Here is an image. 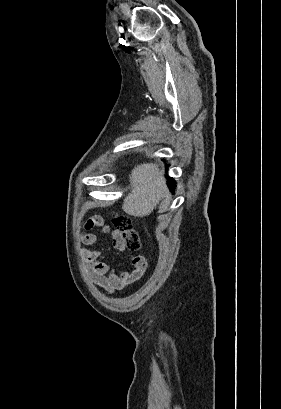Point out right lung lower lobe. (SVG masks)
<instances>
[{"label": "right lung lower lobe", "instance_id": "right-lung-lower-lobe-1", "mask_svg": "<svg viewBox=\"0 0 281 409\" xmlns=\"http://www.w3.org/2000/svg\"><path fill=\"white\" fill-rule=\"evenodd\" d=\"M169 183H170V187H172V188L175 187V183H174V181L172 179H170Z\"/></svg>", "mask_w": 281, "mask_h": 409}]
</instances>
